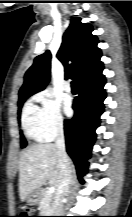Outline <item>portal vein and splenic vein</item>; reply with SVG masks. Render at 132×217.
I'll use <instances>...</instances> for the list:
<instances>
[{
	"label": "portal vein and splenic vein",
	"mask_w": 132,
	"mask_h": 217,
	"mask_svg": "<svg viewBox=\"0 0 132 217\" xmlns=\"http://www.w3.org/2000/svg\"><path fill=\"white\" fill-rule=\"evenodd\" d=\"M48 192L53 194L55 192V187L53 186L49 187Z\"/></svg>",
	"instance_id": "obj_1"
}]
</instances>
